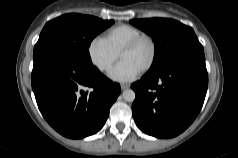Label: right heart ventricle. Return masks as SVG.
I'll return each mask as SVG.
<instances>
[{"mask_svg": "<svg viewBox=\"0 0 238 158\" xmlns=\"http://www.w3.org/2000/svg\"><path fill=\"white\" fill-rule=\"evenodd\" d=\"M142 34L143 32L134 26L121 24L107 30L103 38L119 54L125 44Z\"/></svg>", "mask_w": 238, "mask_h": 158, "instance_id": "obj_1", "label": "right heart ventricle"}]
</instances>
